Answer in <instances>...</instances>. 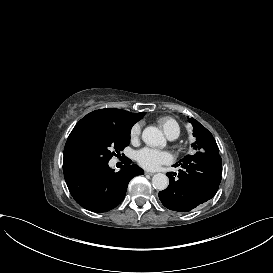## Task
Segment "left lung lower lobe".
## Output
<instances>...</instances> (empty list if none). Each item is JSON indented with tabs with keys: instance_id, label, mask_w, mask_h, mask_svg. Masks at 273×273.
I'll return each instance as SVG.
<instances>
[{
	"instance_id": "left-lung-lower-lobe-1",
	"label": "left lung lower lobe",
	"mask_w": 273,
	"mask_h": 273,
	"mask_svg": "<svg viewBox=\"0 0 273 273\" xmlns=\"http://www.w3.org/2000/svg\"><path fill=\"white\" fill-rule=\"evenodd\" d=\"M181 166L178 178L168 172L170 184L159 192L162 204L173 211L188 212L210 200L217 192L222 174V159L219 153L196 152L174 167Z\"/></svg>"
}]
</instances>
